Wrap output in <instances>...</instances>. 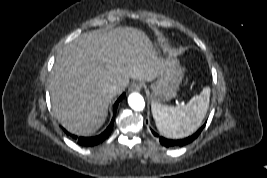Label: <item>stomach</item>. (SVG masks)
Returning a JSON list of instances; mask_svg holds the SVG:
<instances>
[{"label":"stomach","mask_w":267,"mask_h":178,"mask_svg":"<svg viewBox=\"0 0 267 178\" xmlns=\"http://www.w3.org/2000/svg\"><path fill=\"white\" fill-rule=\"evenodd\" d=\"M183 78V69L174 59L169 67L151 83V98L153 101L170 100L176 96Z\"/></svg>","instance_id":"0dacf381"}]
</instances>
